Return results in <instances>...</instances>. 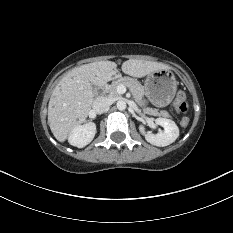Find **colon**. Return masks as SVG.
<instances>
[{
  "mask_svg": "<svg viewBox=\"0 0 233 233\" xmlns=\"http://www.w3.org/2000/svg\"><path fill=\"white\" fill-rule=\"evenodd\" d=\"M174 104L177 111L184 115L181 119V125L186 127L189 124V119L187 116H185L189 110V103L186 99L185 93L182 90L177 91Z\"/></svg>",
  "mask_w": 233,
  "mask_h": 233,
  "instance_id": "1",
  "label": "colon"
}]
</instances>
